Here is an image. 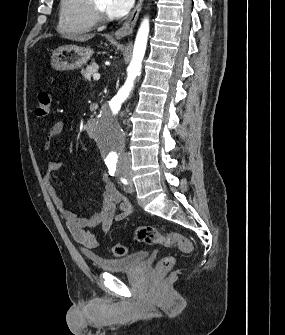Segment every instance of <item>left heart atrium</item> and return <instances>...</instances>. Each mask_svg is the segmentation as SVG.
<instances>
[{"instance_id": "obj_1", "label": "left heart atrium", "mask_w": 285, "mask_h": 335, "mask_svg": "<svg viewBox=\"0 0 285 335\" xmlns=\"http://www.w3.org/2000/svg\"><path fill=\"white\" fill-rule=\"evenodd\" d=\"M107 15L116 20L122 17L133 6L134 1H102Z\"/></svg>"}]
</instances>
